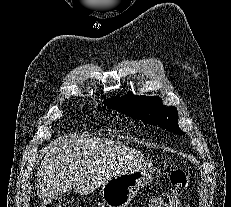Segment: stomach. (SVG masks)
<instances>
[{
  "instance_id": "stomach-1",
  "label": "stomach",
  "mask_w": 231,
  "mask_h": 207,
  "mask_svg": "<svg viewBox=\"0 0 231 207\" xmlns=\"http://www.w3.org/2000/svg\"><path fill=\"white\" fill-rule=\"evenodd\" d=\"M151 162H140L134 167L117 172L102 185V199L107 207H127L139 190L153 178Z\"/></svg>"
}]
</instances>
